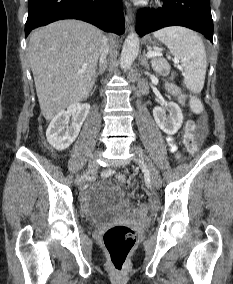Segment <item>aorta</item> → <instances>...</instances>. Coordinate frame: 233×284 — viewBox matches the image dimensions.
I'll use <instances>...</instances> for the list:
<instances>
[{
  "label": "aorta",
  "mask_w": 233,
  "mask_h": 284,
  "mask_svg": "<svg viewBox=\"0 0 233 284\" xmlns=\"http://www.w3.org/2000/svg\"><path fill=\"white\" fill-rule=\"evenodd\" d=\"M139 44V37L135 32H131L125 39L120 58V65L123 69L130 68L138 56Z\"/></svg>",
  "instance_id": "762f6f07"
}]
</instances>
